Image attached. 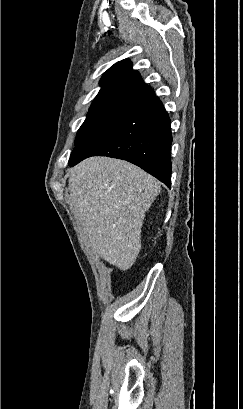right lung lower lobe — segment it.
I'll return each instance as SVG.
<instances>
[{"instance_id": "obj_1", "label": "right lung lower lobe", "mask_w": 243, "mask_h": 409, "mask_svg": "<svg viewBox=\"0 0 243 409\" xmlns=\"http://www.w3.org/2000/svg\"><path fill=\"white\" fill-rule=\"evenodd\" d=\"M162 102L147 86L124 100L117 110L71 153L74 166L90 156L131 162L171 187L172 135Z\"/></svg>"}]
</instances>
